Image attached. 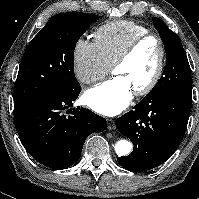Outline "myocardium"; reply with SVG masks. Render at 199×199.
I'll use <instances>...</instances> for the list:
<instances>
[{
	"label": "myocardium",
	"instance_id": "1",
	"mask_svg": "<svg viewBox=\"0 0 199 199\" xmlns=\"http://www.w3.org/2000/svg\"><path fill=\"white\" fill-rule=\"evenodd\" d=\"M148 39H154L159 47V59L158 64L155 69L154 74L152 75L151 79L141 88H138L133 91L134 95L136 96H145L149 94L158 84L160 81L164 68H165V59H166V49L164 42L162 38L154 33V32H147L143 35H140L136 37L134 40H132L129 45L123 50V52L117 57V59L114 61L111 71L112 73L115 72L117 68L125 64L130 57L133 55V53L136 51V49L146 40Z\"/></svg>",
	"mask_w": 199,
	"mask_h": 199
}]
</instances>
